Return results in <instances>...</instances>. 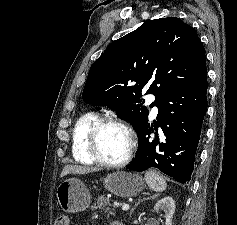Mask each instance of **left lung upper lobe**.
Returning a JSON list of instances; mask_svg holds the SVG:
<instances>
[{
  "instance_id": "obj_1",
  "label": "left lung upper lobe",
  "mask_w": 237,
  "mask_h": 225,
  "mask_svg": "<svg viewBox=\"0 0 237 225\" xmlns=\"http://www.w3.org/2000/svg\"><path fill=\"white\" fill-rule=\"evenodd\" d=\"M206 78L205 53L194 29L176 17L160 18L108 46L91 66L82 98L107 105L137 132L149 114L140 99L143 88L156 102Z\"/></svg>"
}]
</instances>
